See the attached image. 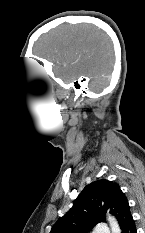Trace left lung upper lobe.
Instances as JSON below:
<instances>
[{
  "label": "left lung upper lobe",
  "instance_id": "1",
  "mask_svg": "<svg viewBox=\"0 0 145 233\" xmlns=\"http://www.w3.org/2000/svg\"><path fill=\"white\" fill-rule=\"evenodd\" d=\"M110 210L122 231L133 220L128 200L118 184L97 180L87 185L76 198L73 207L52 227L50 233H86L105 221L103 211Z\"/></svg>",
  "mask_w": 145,
  "mask_h": 233
}]
</instances>
